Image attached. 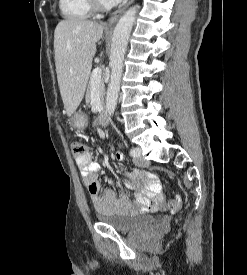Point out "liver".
I'll return each mask as SVG.
<instances>
[{
    "mask_svg": "<svg viewBox=\"0 0 247 275\" xmlns=\"http://www.w3.org/2000/svg\"><path fill=\"white\" fill-rule=\"evenodd\" d=\"M102 24L81 18L58 23L54 32L57 80L64 108L70 117L79 107L86 90L96 43L102 37Z\"/></svg>",
    "mask_w": 247,
    "mask_h": 275,
    "instance_id": "6515ba94",
    "label": "liver"
}]
</instances>
